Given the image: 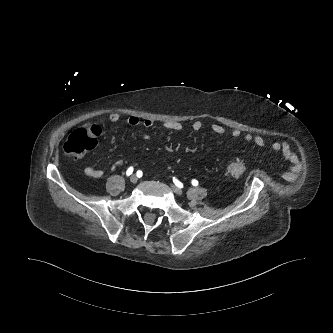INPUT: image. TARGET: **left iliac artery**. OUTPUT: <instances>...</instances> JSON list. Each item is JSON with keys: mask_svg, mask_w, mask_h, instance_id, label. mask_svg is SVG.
Wrapping results in <instances>:
<instances>
[{"mask_svg": "<svg viewBox=\"0 0 333 333\" xmlns=\"http://www.w3.org/2000/svg\"><path fill=\"white\" fill-rule=\"evenodd\" d=\"M174 179H175V177L173 178V181L175 182L176 186L179 187V188H182V186H183L182 183L179 182V181H177V180H174ZM191 183H192L193 186H197L198 185V181L195 180V179H193L191 181Z\"/></svg>", "mask_w": 333, "mask_h": 333, "instance_id": "1", "label": "left iliac artery"}]
</instances>
